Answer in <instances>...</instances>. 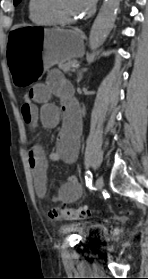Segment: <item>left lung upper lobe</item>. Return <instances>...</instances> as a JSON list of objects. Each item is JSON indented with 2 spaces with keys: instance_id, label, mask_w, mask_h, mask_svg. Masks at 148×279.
<instances>
[{
  "instance_id": "obj_1",
  "label": "left lung upper lobe",
  "mask_w": 148,
  "mask_h": 279,
  "mask_svg": "<svg viewBox=\"0 0 148 279\" xmlns=\"http://www.w3.org/2000/svg\"><path fill=\"white\" fill-rule=\"evenodd\" d=\"M21 0H14V5H17Z\"/></svg>"
}]
</instances>
